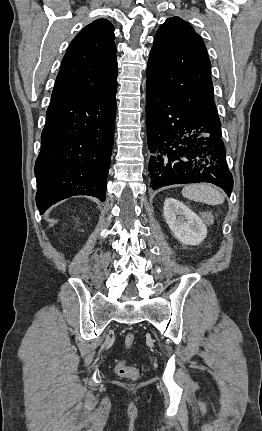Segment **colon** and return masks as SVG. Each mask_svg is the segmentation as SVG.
I'll return each instance as SVG.
<instances>
[{
  "mask_svg": "<svg viewBox=\"0 0 262 431\" xmlns=\"http://www.w3.org/2000/svg\"><path fill=\"white\" fill-rule=\"evenodd\" d=\"M136 340L137 337L134 333H127L124 340L126 347L130 348L136 342ZM116 373L119 376L128 378L130 380H136L139 377L138 370L135 367L128 365L124 358L118 360L116 364Z\"/></svg>",
  "mask_w": 262,
  "mask_h": 431,
  "instance_id": "obj_1",
  "label": "colon"
}]
</instances>
